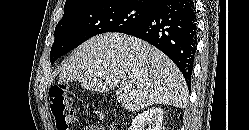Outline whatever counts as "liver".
<instances>
[{"label": "liver", "instance_id": "6515ba94", "mask_svg": "<svg viewBox=\"0 0 249 130\" xmlns=\"http://www.w3.org/2000/svg\"><path fill=\"white\" fill-rule=\"evenodd\" d=\"M59 81H78L97 92L117 87V100L130 111L153 104L184 108L188 102L177 66L154 46L121 33L97 35L81 44L63 64Z\"/></svg>", "mask_w": 249, "mask_h": 130}]
</instances>
